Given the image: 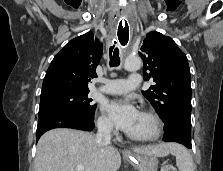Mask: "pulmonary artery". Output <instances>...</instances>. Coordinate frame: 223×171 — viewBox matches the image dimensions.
Instances as JSON below:
<instances>
[{
    "label": "pulmonary artery",
    "instance_id": "pulmonary-artery-1",
    "mask_svg": "<svg viewBox=\"0 0 223 171\" xmlns=\"http://www.w3.org/2000/svg\"><path fill=\"white\" fill-rule=\"evenodd\" d=\"M140 84V74L133 73L127 79H107L98 90L109 95H121L136 89Z\"/></svg>",
    "mask_w": 223,
    "mask_h": 171
}]
</instances>
